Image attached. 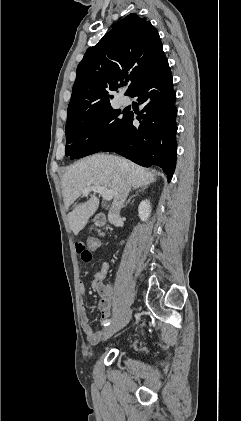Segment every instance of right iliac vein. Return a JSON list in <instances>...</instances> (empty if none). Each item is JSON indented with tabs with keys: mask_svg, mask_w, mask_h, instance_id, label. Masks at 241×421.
<instances>
[{
	"mask_svg": "<svg viewBox=\"0 0 241 421\" xmlns=\"http://www.w3.org/2000/svg\"><path fill=\"white\" fill-rule=\"evenodd\" d=\"M131 314L132 311L129 309L124 315L123 317L116 321L113 322L111 325H109L108 327H106L104 329V333H103V340H107L108 338H110L113 334H115L117 331L121 330L123 327H125L130 319H131Z\"/></svg>",
	"mask_w": 241,
	"mask_h": 421,
	"instance_id": "1",
	"label": "right iliac vein"
}]
</instances>
